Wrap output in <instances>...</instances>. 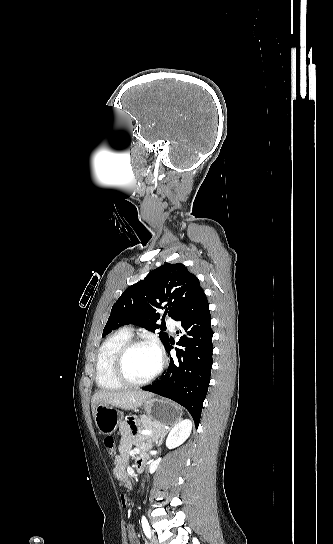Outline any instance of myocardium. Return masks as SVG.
<instances>
[{"mask_svg":"<svg viewBox=\"0 0 333 544\" xmlns=\"http://www.w3.org/2000/svg\"><path fill=\"white\" fill-rule=\"evenodd\" d=\"M137 346H149L156 350L158 356H159V364L154 371L152 375H150L148 378L141 380V381H134L131 380L126 373L125 370V362L126 358L129 354V352L137 347ZM165 366V357L163 355V352L161 348L158 346L157 343L153 342L152 340L146 339V338H131L128 341H126L117 351L114 360H113V375L114 377L124 386L128 387H143L150 383H152L163 371Z\"/></svg>","mask_w":333,"mask_h":544,"instance_id":"f54148a6","label":"myocardium"}]
</instances>
